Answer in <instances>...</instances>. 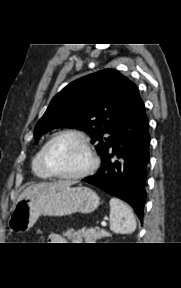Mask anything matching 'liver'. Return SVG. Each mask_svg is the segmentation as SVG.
Returning <instances> with one entry per match:
<instances>
[{"label": "liver", "mask_w": 181, "mask_h": 288, "mask_svg": "<svg viewBox=\"0 0 181 288\" xmlns=\"http://www.w3.org/2000/svg\"><path fill=\"white\" fill-rule=\"evenodd\" d=\"M72 184H74L73 181H58L54 183L43 182V183L34 184L24 189V191L19 195L18 200H21L28 196L42 193L54 187H65V186H69Z\"/></svg>", "instance_id": "obj_1"}]
</instances>
